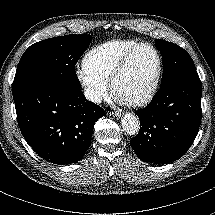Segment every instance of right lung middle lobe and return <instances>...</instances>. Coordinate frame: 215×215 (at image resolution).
Segmentation results:
<instances>
[{
    "instance_id": "right-lung-middle-lobe-1",
    "label": "right lung middle lobe",
    "mask_w": 215,
    "mask_h": 215,
    "mask_svg": "<svg viewBox=\"0 0 215 215\" xmlns=\"http://www.w3.org/2000/svg\"><path fill=\"white\" fill-rule=\"evenodd\" d=\"M92 36L65 35L31 45L22 55L13 81V97L29 88L50 84L80 89L75 64Z\"/></svg>"
}]
</instances>
